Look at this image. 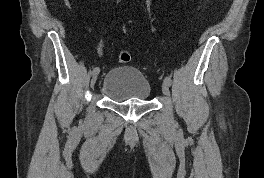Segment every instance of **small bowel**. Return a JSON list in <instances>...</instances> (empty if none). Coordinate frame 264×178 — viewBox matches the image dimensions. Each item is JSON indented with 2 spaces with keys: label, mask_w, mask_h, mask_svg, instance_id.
<instances>
[{
  "label": "small bowel",
  "mask_w": 264,
  "mask_h": 178,
  "mask_svg": "<svg viewBox=\"0 0 264 178\" xmlns=\"http://www.w3.org/2000/svg\"><path fill=\"white\" fill-rule=\"evenodd\" d=\"M102 53H103V52H102V49H99V54L102 55Z\"/></svg>",
  "instance_id": "c3829d8e"
}]
</instances>
